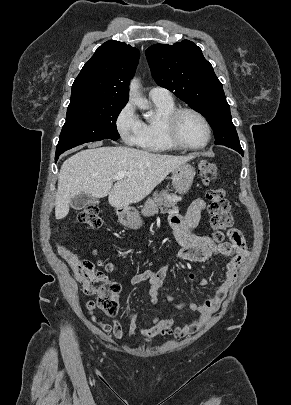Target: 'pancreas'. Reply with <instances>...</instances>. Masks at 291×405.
I'll return each instance as SVG.
<instances>
[{
	"label": "pancreas",
	"instance_id": "pancreas-1",
	"mask_svg": "<svg viewBox=\"0 0 291 405\" xmlns=\"http://www.w3.org/2000/svg\"><path fill=\"white\" fill-rule=\"evenodd\" d=\"M179 199L176 195L168 194L167 191L160 193L154 192L153 196L148 198L141 211L143 216L150 217L161 211V213H168L169 211L177 209Z\"/></svg>",
	"mask_w": 291,
	"mask_h": 405
}]
</instances>
